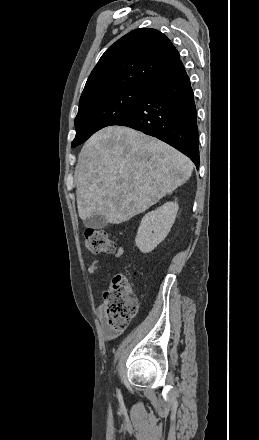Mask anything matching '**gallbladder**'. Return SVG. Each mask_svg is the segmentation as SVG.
<instances>
[{
	"label": "gallbladder",
	"mask_w": 259,
	"mask_h": 440,
	"mask_svg": "<svg viewBox=\"0 0 259 440\" xmlns=\"http://www.w3.org/2000/svg\"><path fill=\"white\" fill-rule=\"evenodd\" d=\"M84 225L87 228L103 229L108 225L103 215L94 214L84 220Z\"/></svg>",
	"instance_id": "obj_1"
}]
</instances>
